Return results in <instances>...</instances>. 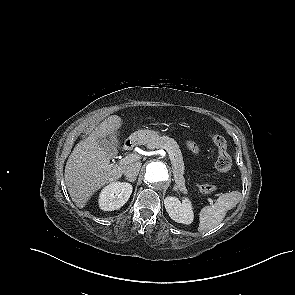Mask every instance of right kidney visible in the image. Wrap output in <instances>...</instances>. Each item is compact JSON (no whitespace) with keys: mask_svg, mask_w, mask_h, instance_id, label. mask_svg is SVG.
Returning <instances> with one entry per match:
<instances>
[{"mask_svg":"<svg viewBox=\"0 0 295 295\" xmlns=\"http://www.w3.org/2000/svg\"><path fill=\"white\" fill-rule=\"evenodd\" d=\"M132 185L113 182L106 186L99 195V206L104 211H114L121 208L130 198Z\"/></svg>","mask_w":295,"mask_h":295,"instance_id":"ca27d5eb","label":"right kidney"}]
</instances>
